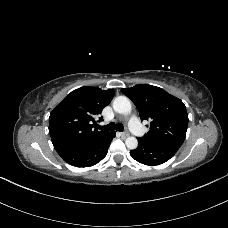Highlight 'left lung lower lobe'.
I'll list each match as a JSON object with an SVG mask.
<instances>
[{"label": "left lung lower lobe", "instance_id": "left-lung-lower-lobe-1", "mask_svg": "<svg viewBox=\"0 0 228 228\" xmlns=\"http://www.w3.org/2000/svg\"><path fill=\"white\" fill-rule=\"evenodd\" d=\"M138 147L130 151V155L136 161L149 165L165 163L178 151L179 147L172 144L147 142L138 138Z\"/></svg>", "mask_w": 228, "mask_h": 228}]
</instances>
